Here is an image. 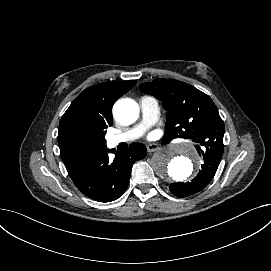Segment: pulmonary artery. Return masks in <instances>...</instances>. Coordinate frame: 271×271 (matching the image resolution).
Here are the masks:
<instances>
[{"label":"pulmonary artery","instance_id":"obj_1","mask_svg":"<svg viewBox=\"0 0 271 271\" xmlns=\"http://www.w3.org/2000/svg\"><path fill=\"white\" fill-rule=\"evenodd\" d=\"M139 104L142 112L140 123L124 132L107 135L105 138L107 148L111 149L122 142H132L139 139L158 120L160 108L155 98L143 96Z\"/></svg>","mask_w":271,"mask_h":271}]
</instances>
